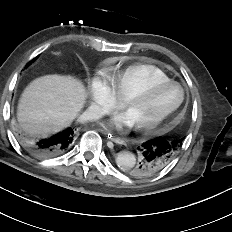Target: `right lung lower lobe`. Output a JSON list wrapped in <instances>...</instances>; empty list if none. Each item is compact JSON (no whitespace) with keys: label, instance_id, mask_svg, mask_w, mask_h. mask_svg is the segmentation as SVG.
<instances>
[{"label":"right lung lower lobe","instance_id":"98d812e1","mask_svg":"<svg viewBox=\"0 0 232 232\" xmlns=\"http://www.w3.org/2000/svg\"><path fill=\"white\" fill-rule=\"evenodd\" d=\"M74 130L68 128L49 138H36L23 132L18 133L21 145L36 158H52L69 150L74 141Z\"/></svg>","mask_w":232,"mask_h":232}]
</instances>
